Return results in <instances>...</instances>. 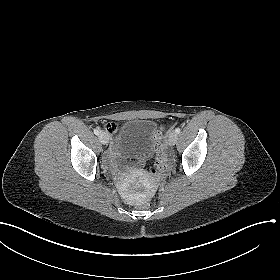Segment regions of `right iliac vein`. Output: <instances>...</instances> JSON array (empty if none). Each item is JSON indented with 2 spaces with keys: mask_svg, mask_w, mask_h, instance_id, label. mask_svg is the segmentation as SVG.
Wrapping results in <instances>:
<instances>
[{
  "mask_svg": "<svg viewBox=\"0 0 280 280\" xmlns=\"http://www.w3.org/2000/svg\"><path fill=\"white\" fill-rule=\"evenodd\" d=\"M99 139L102 144L106 145L109 141L108 134L106 132H100Z\"/></svg>",
  "mask_w": 280,
  "mask_h": 280,
  "instance_id": "1",
  "label": "right iliac vein"
}]
</instances>
